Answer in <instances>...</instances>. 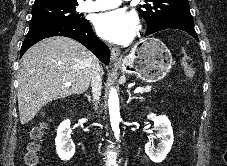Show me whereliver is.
Here are the masks:
<instances>
[{
	"mask_svg": "<svg viewBox=\"0 0 227 166\" xmlns=\"http://www.w3.org/2000/svg\"><path fill=\"white\" fill-rule=\"evenodd\" d=\"M99 68L98 59L68 37H50L33 45L19 66L18 110L21 124L47 103L84 93ZM70 82L71 86L65 83Z\"/></svg>",
	"mask_w": 227,
	"mask_h": 166,
	"instance_id": "1",
	"label": "liver"
}]
</instances>
